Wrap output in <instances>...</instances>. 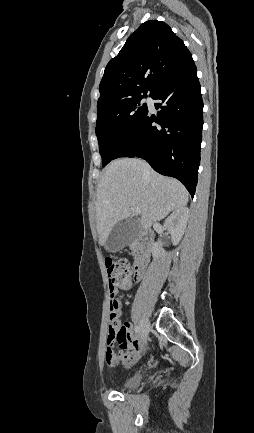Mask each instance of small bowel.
Instances as JSON below:
<instances>
[{
    "instance_id": "obj_1",
    "label": "small bowel",
    "mask_w": 254,
    "mask_h": 433,
    "mask_svg": "<svg viewBox=\"0 0 254 433\" xmlns=\"http://www.w3.org/2000/svg\"><path fill=\"white\" fill-rule=\"evenodd\" d=\"M116 297L118 290L113 291ZM117 298V297H116ZM118 300V299H117ZM118 312H121L120 303L118 300ZM120 350L115 353L113 350H108L105 354V360L109 366L122 365L126 368L132 367L138 360L142 348L139 342L131 331L130 323L120 325V334L117 338Z\"/></svg>"
}]
</instances>
